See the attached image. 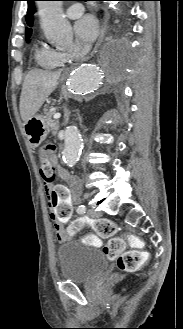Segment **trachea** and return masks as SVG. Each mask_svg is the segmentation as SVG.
Instances as JSON below:
<instances>
[{"instance_id": "trachea-1", "label": "trachea", "mask_w": 183, "mask_h": 329, "mask_svg": "<svg viewBox=\"0 0 183 329\" xmlns=\"http://www.w3.org/2000/svg\"><path fill=\"white\" fill-rule=\"evenodd\" d=\"M81 1H89V0H81Z\"/></svg>"}]
</instances>
